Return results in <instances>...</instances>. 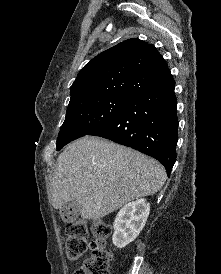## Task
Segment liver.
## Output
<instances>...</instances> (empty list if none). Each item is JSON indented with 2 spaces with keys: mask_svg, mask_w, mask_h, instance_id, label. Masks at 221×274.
Here are the masks:
<instances>
[{
  "mask_svg": "<svg viewBox=\"0 0 221 274\" xmlns=\"http://www.w3.org/2000/svg\"><path fill=\"white\" fill-rule=\"evenodd\" d=\"M165 181V169L156 160L114 142L85 136L58 156L51 202L55 209H62L77 200L81 216L96 220L157 193Z\"/></svg>",
  "mask_w": 221,
  "mask_h": 274,
  "instance_id": "1",
  "label": "liver"
}]
</instances>
